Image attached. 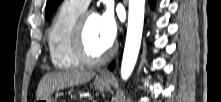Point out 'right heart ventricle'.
Masks as SVG:
<instances>
[{"label": "right heart ventricle", "instance_id": "right-heart-ventricle-1", "mask_svg": "<svg viewBox=\"0 0 221 102\" xmlns=\"http://www.w3.org/2000/svg\"><path fill=\"white\" fill-rule=\"evenodd\" d=\"M85 9L73 1H65L55 14L47 31V43L52 64L60 69L76 68L80 62L72 49L75 24Z\"/></svg>", "mask_w": 221, "mask_h": 102}]
</instances>
